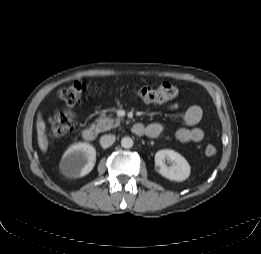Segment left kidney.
I'll return each mask as SVG.
<instances>
[{
	"label": "left kidney",
	"instance_id": "obj_1",
	"mask_svg": "<svg viewBox=\"0 0 261 254\" xmlns=\"http://www.w3.org/2000/svg\"><path fill=\"white\" fill-rule=\"evenodd\" d=\"M165 160L172 162L171 166L165 164ZM155 167L163 177L181 182L186 180L190 175V165L187 160L174 150H159L155 155Z\"/></svg>",
	"mask_w": 261,
	"mask_h": 254
}]
</instances>
